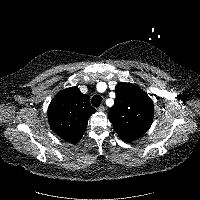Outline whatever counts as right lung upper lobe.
Returning a JSON list of instances; mask_svg holds the SVG:
<instances>
[{
    "mask_svg": "<svg viewBox=\"0 0 200 200\" xmlns=\"http://www.w3.org/2000/svg\"><path fill=\"white\" fill-rule=\"evenodd\" d=\"M96 110L90 105V97L78 87L59 92L48 107L51 129L65 141L75 144L83 136L89 117Z\"/></svg>",
    "mask_w": 200,
    "mask_h": 200,
    "instance_id": "obj_1",
    "label": "right lung upper lobe"
}]
</instances>
